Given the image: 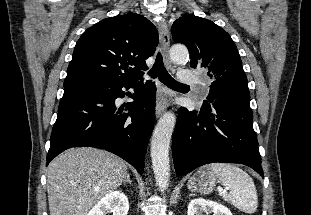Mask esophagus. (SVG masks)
<instances>
[{
	"label": "esophagus",
	"mask_w": 311,
	"mask_h": 215,
	"mask_svg": "<svg viewBox=\"0 0 311 215\" xmlns=\"http://www.w3.org/2000/svg\"><path fill=\"white\" fill-rule=\"evenodd\" d=\"M158 30H159V38H160V48L164 56L165 65L170 68L171 63L168 56L169 46H170V34L168 27L165 22L160 21L158 23ZM168 106V95L165 89L162 90L161 94L159 95L156 101L155 113L156 117L159 118L165 109Z\"/></svg>",
	"instance_id": "esophagus-1"
}]
</instances>
